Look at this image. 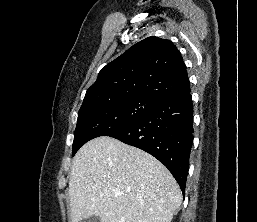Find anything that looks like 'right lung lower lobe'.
<instances>
[{
    "label": "right lung lower lobe",
    "mask_w": 257,
    "mask_h": 222,
    "mask_svg": "<svg viewBox=\"0 0 257 222\" xmlns=\"http://www.w3.org/2000/svg\"><path fill=\"white\" fill-rule=\"evenodd\" d=\"M193 105L190 90L160 102L131 126L110 137L142 149L163 163L183 194L193 142Z\"/></svg>",
    "instance_id": "98d812e1"
}]
</instances>
